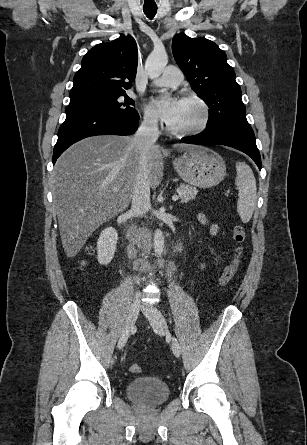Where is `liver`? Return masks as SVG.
Segmentation results:
<instances>
[{
    "label": "liver",
    "mask_w": 307,
    "mask_h": 445,
    "mask_svg": "<svg viewBox=\"0 0 307 445\" xmlns=\"http://www.w3.org/2000/svg\"><path fill=\"white\" fill-rule=\"evenodd\" d=\"M131 140L133 136H89L72 144L55 164L51 184L66 257H75L100 225L131 202L139 164ZM192 146L196 144H174L178 150ZM148 156V180L156 188L164 170L160 146L152 144Z\"/></svg>",
    "instance_id": "1"
}]
</instances>
